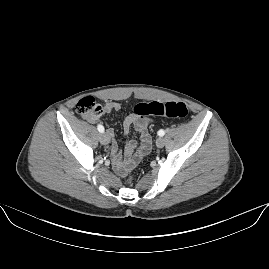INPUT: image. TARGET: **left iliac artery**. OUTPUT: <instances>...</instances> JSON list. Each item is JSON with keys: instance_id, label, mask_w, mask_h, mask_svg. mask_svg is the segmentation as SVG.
Here are the masks:
<instances>
[{"instance_id": "left-iliac-artery-1", "label": "left iliac artery", "mask_w": 269, "mask_h": 269, "mask_svg": "<svg viewBox=\"0 0 269 269\" xmlns=\"http://www.w3.org/2000/svg\"><path fill=\"white\" fill-rule=\"evenodd\" d=\"M158 135L159 136H164L165 135V131L163 129L158 131Z\"/></svg>"}]
</instances>
